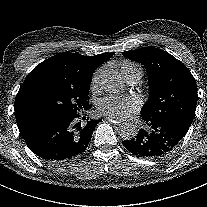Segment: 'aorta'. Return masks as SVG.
Returning a JSON list of instances; mask_svg holds the SVG:
<instances>
[{"label":"aorta","instance_id":"762f6f07","mask_svg":"<svg viewBox=\"0 0 207 207\" xmlns=\"http://www.w3.org/2000/svg\"><path fill=\"white\" fill-rule=\"evenodd\" d=\"M103 89L110 93H117L124 87V80L120 73L104 71L99 75ZM119 134L125 141L134 139L138 134V128L131 122L123 123L120 126Z\"/></svg>","mask_w":207,"mask_h":207}]
</instances>
